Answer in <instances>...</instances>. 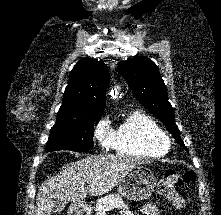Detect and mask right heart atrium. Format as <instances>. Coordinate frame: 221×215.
<instances>
[{
  "mask_svg": "<svg viewBox=\"0 0 221 215\" xmlns=\"http://www.w3.org/2000/svg\"><path fill=\"white\" fill-rule=\"evenodd\" d=\"M115 131L108 116L102 117L95 127V138L102 149L108 150L113 147Z\"/></svg>",
  "mask_w": 221,
  "mask_h": 215,
  "instance_id": "obj_1",
  "label": "right heart atrium"
}]
</instances>
